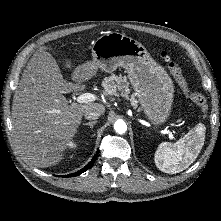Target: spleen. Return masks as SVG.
<instances>
[{"label":"spleen","mask_w":221,"mask_h":221,"mask_svg":"<svg viewBox=\"0 0 221 221\" xmlns=\"http://www.w3.org/2000/svg\"><path fill=\"white\" fill-rule=\"evenodd\" d=\"M205 132V125L199 123L176 143L162 142L155 153L156 166L170 174H176L188 168L203 147Z\"/></svg>","instance_id":"3e777b00"}]
</instances>
